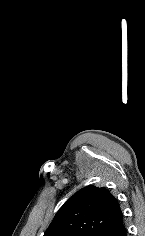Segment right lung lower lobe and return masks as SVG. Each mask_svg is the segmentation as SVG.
I'll return each mask as SVG.
<instances>
[{
  "mask_svg": "<svg viewBox=\"0 0 145 236\" xmlns=\"http://www.w3.org/2000/svg\"><path fill=\"white\" fill-rule=\"evenodd\" d=\"M98 236H127L123 219L103 230Z\"/></svg>",
  "mask_w": 145,
  "mask_h": 236,
  "instance_id": "right-lung-lower-lobe-1",
  "label": "right lung lower lobe"
}]
</instances>
